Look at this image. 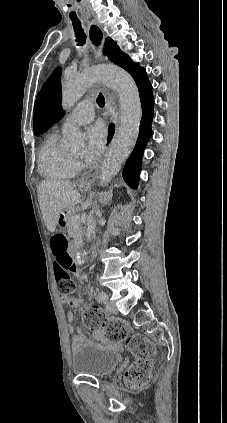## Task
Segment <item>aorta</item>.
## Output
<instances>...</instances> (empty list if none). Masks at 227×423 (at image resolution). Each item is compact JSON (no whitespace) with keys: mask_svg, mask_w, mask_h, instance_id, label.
<instances>
[{"mask_svg":"<svg viewBox=\"0 0 227 423\" xmlns=\"http://www.w3.org/2000/svg\"><path fill=\"white\" fill-rule=\"evenodd\" d=\"M96 81L112 87L119 96L120 125L111 142L103 162L100 184L106 185L120 171L139 134L141 102L133 78L123 69L115 66H98L78 75L66 76L62 85V106L65 110L73 107L86 90ZM84 135L75 126H69L65 133V145L69 148L82 146ZM96 233V222L89 221L85 239L90 241Z\"/></svg>","mask_w":227,"mask_h":423,"instance_id":"obj_1","label":"aorta"}]
</instances>
